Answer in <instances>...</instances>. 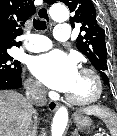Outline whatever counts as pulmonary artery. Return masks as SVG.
Wrapping results in <instances>:
<instances>
[{"instance_id":"1","label":"pulmonary artery","mask_w":117,"mask_h":136,"mask_svg":"<svg viewBox=\"0 0 117 136\" xmlns=\"http://www.w3.org/2000/svg\"><path fill=\"white\" fill-rule=\"evenodd\" d=\"M70 35L69 28L60 23L56 26L54 31V37L58 41H66L68 40ZM52 46V41L46 37L41 35H34L32 36L31 40L27 45V50L31 52H42L48 50Z\"/></svg>"}]
</instances>
